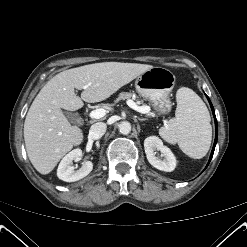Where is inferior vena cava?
<instances>
[{"mask_svg": "<svg viewBox=\"0 0 247 247\" xmlns=\"http://www.w3.org/2000/svg\"><path fill=\"white\" fill-rule=\"evenodd\" d=\"M106 128L107 126L103 122L93 124L89 130V137L95 140L101 138L105 134Z\"/></svg>", "mask_w": 247, "mask_h": 247, "instance_id": "inferior-vena-cava-1", "label": "inferior vena cava"}]
</instances>
